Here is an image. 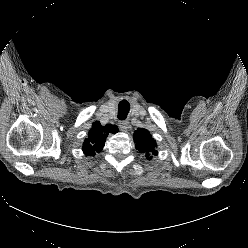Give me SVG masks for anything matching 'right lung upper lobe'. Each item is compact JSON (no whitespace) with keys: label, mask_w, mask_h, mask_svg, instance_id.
<instances>
[{"label":"right lung upper lobe","mask_w":248,"mask_h":248,"mask_svg":"<svg viewBox=\"0 0 248 248\" xmlns=\"http://www.w3.org/2000/svg\"><path fill=\"white\" fill-rule=\"evenodd\" d=\"M118 127L115 125L102 126L95 122L89 130L88 138L83 144V152L88 155H95V152L102 150L108 133H117Z\"/></svg>","instance_id":"right-lung-upper-lobe-1"}]
</instances>
